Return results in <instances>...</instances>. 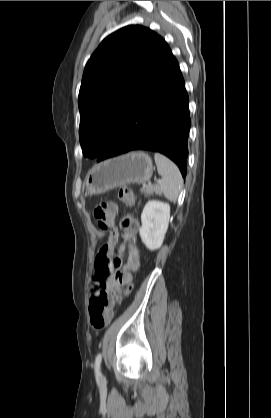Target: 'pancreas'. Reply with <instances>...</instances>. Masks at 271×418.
<instances>
[{
    "label": "pancreas",
    "mask_w": 271,
    "mask_h": 418,
    "mask_svg": "<svg viewBox=\"0 0 271 418\" xmlns=\"http://www.w3.org/2000/svg\"><path fill=\"white\" fill-rule=\"evenodd\" d=\"M141 193H144L145 195H152V194H159V188L157 186H151V185H146L143 186V188H141Z\"/></svg>",
    "instance_id": "1"
}]
</instances>
